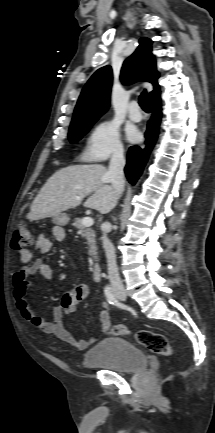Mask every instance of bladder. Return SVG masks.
I'll use <instances>...</instances> for the list:
<instances>
[{
  "label": "bladder",
  "instance_id": "bladder-1",
  "mask_svg": "<svg viewBox=\"0 0 215 433\" xmlns=\"http://www.w3.org/2000/svg\"><path fill=\"white\" fill-rule=\"evenodd\" d=\"M86 367H105L117 373L130 374L147 366L145 353L133 343L119 338L102 339L83 357Z\"/></svg>",
  "mask_w": 215,
  "mask_h": 433
}]
</instances>
